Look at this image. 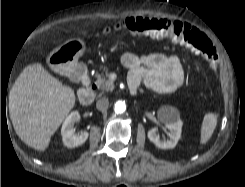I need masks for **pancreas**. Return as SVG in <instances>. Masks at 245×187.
Segmentation results:
<instances>
[{
  "mask_svg": "<svg viewBox=\"0 0 245 187\" xmlns=\"http://www.w3.org/2000/svg\"><path fill=\"white\" fill-rule=\"evenodd\" d=\"M105 71V68H104ZM96 85L102 90V91H112L115 87L114 82L109 78V73L105 71V75H96Z\"/></svg>",
  "mask_w": 245,
  "mask_h": 187,
  "instance_id": "cf45deb5",
  "label": "pancreas"
}]
</instances>
